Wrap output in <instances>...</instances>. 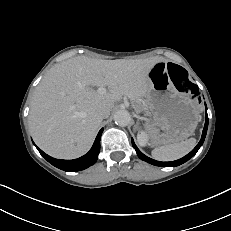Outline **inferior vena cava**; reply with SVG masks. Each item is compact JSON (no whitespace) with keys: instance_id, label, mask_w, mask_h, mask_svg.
Returning a JSON list of instances; mask_svg holds the SVG:
<instances>
[{"instance_id":"1","label":"inferior vena cava","mask_w":231,"mask_h":231,"mask_svg":"<svg viewBox=\"0 0 231 231\" xmlns=\"http://www.w3.org/2000/svg\"><path fill=\"white\" fill-rule=\"evenodd\" d=\"M97 115L101 119L107 118L110 115V110H108L107 108L102 107L97 111Z\"/></svg>"}]
</instances>
